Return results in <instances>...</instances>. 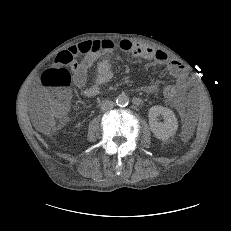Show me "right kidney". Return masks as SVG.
<instances>
[{
	"mask_svg": "<svg viewBox=\"0 0 231 231\" xmlns=\"http://www.w3.org/2000/svg\"><path fill=\"white\" fill-rule=\"evenodd\" d=\"M77 128H80L81 127V123L79 122L77 125H76Z\"/></svg>",
	"mask_w": 231,
	"mask_h": 231,
	"instance_id": "obj_1",
	"label": "right kidney"
}]
</instances>
